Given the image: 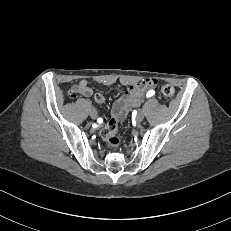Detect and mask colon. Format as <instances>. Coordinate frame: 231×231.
Listing matches in <instances>:
<instances>
[{"mask_svg":"<svg viewBox=\"0 0 231 231\" xmlns=\"http://www.w3.org/2000/svg\"><path fill=\"white\" fill-rule=\"evenodd\" d=\"M161 92L167 98H173L175 95L174 87L169 84L162 85ZM119 128L120 119L112 118L101 131L102 138L107 142L109 146L113 148H116L120 145V138L118 136Z\"/></svg>","mask_w":231,"mask_h":231,"instance_id":"colon-1","label":"colon"}]
</instances>
